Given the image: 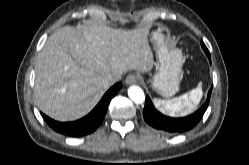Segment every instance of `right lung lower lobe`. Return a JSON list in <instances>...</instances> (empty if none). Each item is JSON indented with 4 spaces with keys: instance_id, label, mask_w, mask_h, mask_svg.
I'll return each instance as SVG.
<instances>
[{
    "instance_id": "98d812e1",
    "label": "right lung lower lobe",
    "mask_w": 249,
    "mask_h": 165,
    "mask_svg": "<svg viewBox=\"0 0 249 165\" xmlns=\"http://www.w3.org/2000/svg\"><path fill=\"white\" fill-rule=\"evenodd\" d=\"M121 87V82L111 87L104 94L97 106L87 116L77 121L62 123L54 121L43 113L41 114L47 124L58 133L71 137H80L90 134L94 132L102 123L112 97L116 95Z\"/></svg>"
}]
</instances>
